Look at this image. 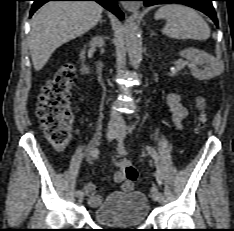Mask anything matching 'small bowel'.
I'll list each match as a JSON object with an SVG mask.
<instances>
[{
  "label": "small bowel",
  "instance_id": "c3829d8e",
  "mask_svg": "<svg viewBox=\"0 0 234 231\" xmlns=\"http://www.w3.org/2000/svg\"><path fill=\"white\" fill-rule=\"evenodd\" d=\"M170 114L175 126L179 129L182 128L184 120L188 116L187 108L180 102V97L177 91L172 92L167 97ZM134 183L131 181H122L121 190L129 192L133 189ZM85 192L91 206H98L102 202V198L96 193V187L93 183H87Z\"/></svg>",
  "mask_w": 234,
  "mask_h": 231
}]
</instances>
